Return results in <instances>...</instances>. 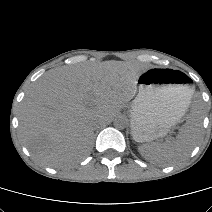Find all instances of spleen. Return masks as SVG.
<instances>
[{
    "mask_svg": "<svg viewBox=\"0 0 212 212\" xmlns=\"http://www.w3.org/2000/svg\"><path fill=\"white\" fill-rule=\"evenodd\" d=\"M199 133L200 124L189 120L175 140L144 144L138 150L150 162L163 165L175 164L190 154L196 145Z\"/></svg>",
    "mask_w": 212,
    "mask_h": 212,
    "instance_id": "1",
    "label": "spleen"
}]
</instances>
